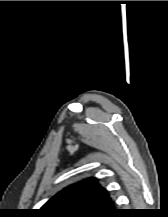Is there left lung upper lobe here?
Listing matches in <instances>:
<instances>
[{"label":"left lung upper lobe","instance_id":"obj_1","mask_svg":"<svg viewBox=\"0 0 168 217\" xmlns=\"http://www.w3.org/2000/svg\"><path fill=\"white\" fill-rule=\"evenodd\" d=\"M111 207L108 191L92 177L64 188L38 211L44 217H101Z\"/></svg>","mask_w":168,"mask_h":217}]
</instances>
